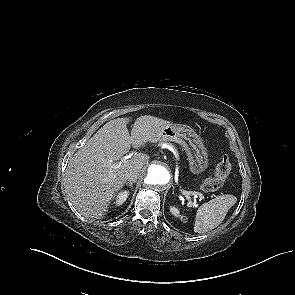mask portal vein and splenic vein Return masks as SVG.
I'll return each mask as SVG.
<instances>
[{"label":"portal vein and splenic vein","instance_id":"1","mask_svg":"<svg viewBox=\"0 0 295 295\" xmlns=\"http://www.w3.org/2000/svg\"><path fill=\"white\" fill-rule=\"evenodd\" d=\"M128 158H129L128 156H125V157L122 158L121 161H126ZM109 163L111 164L112 161H109ZM120 163H121V162H120ZM119 166H120V164H116V165L113 166V168H119ZM180 191H181V193H182L183 195H185L186 197H188V196H194V198L199 197V198L202 199V200L205 198L204 195H203L202 193L197 192V191H186V190H183V189H180Z\"/></svg>","mask_w":295,"mask_h":295}]
</instances>
